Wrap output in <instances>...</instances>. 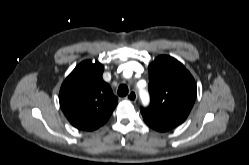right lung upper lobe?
<instances>
[{
  "instance_id": "cb5924a9",
  "label": "right lung upper lobe",
  "mask_w": 249,
  "mask_h": 165,
  "mask_svg": "<svg viewBox=\"0 0 249 165\" xmlns=\"http://www.w3.org/2000/svg\"><path fill=\"white\" fill-rule=\"evenodd\" d=\"M104 66L91 60L81 62L63 82L59 102L69 122L80 130L92 131L111 116L118 98L102 79Z\"/></svg>"
}]
</instances>
